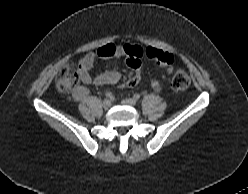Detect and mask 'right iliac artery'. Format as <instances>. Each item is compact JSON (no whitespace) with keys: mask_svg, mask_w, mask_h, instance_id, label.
Here are the masks:
<instances>
[{"mask_svg":"<svg viewBox=\"0 0 248 194\" xmlns=\"http://www.w3.org/2000/svg\"><path fill=\"white\" fill-rule=\"evenodd\" d=\"M106 97L111 99V100L114 99V96L111 92L106 93Z\"/></svg>","mask_w":248,"mask_h":194,"instance_id":"right-iliac-artery-1","label":"right iliac artery"}]
</instances>
